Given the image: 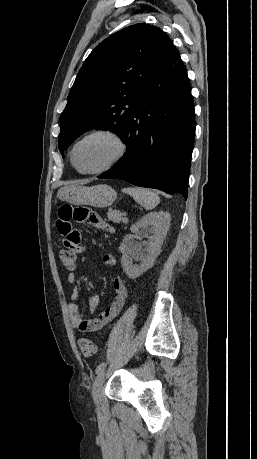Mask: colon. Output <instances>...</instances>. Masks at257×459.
Wrapping results in <instances>:
<instances>
[{"mask_svg":"<svg viewBox=\"0 0 257 459\" xmlns=\"http://www.w3.org/2000/svg\"><path fill=\"white\" fill-rule=\"evenodd\" d=\"M74 252L75 251H67L66 247L61 248L60 253H59V259H60L61 264L64 267L73 268L75 266L76 256ZM79 347H80L81 352L87 357H92L96 354V346L88 338H81L79 340Z\"/></svg>","mask_w":257,"mask_h":459,"instance_id":"1","label":"colon"}]
</instances>
